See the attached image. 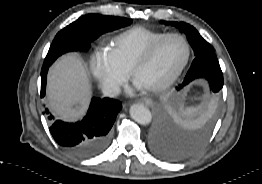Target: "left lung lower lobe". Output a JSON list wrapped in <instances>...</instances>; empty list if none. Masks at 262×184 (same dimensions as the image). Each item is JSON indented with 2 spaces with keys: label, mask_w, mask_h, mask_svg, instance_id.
<instances>
[{
  "label": "left lung lower lobe",
  "mask_w": 262,
  "mask_h": 184,
  "mask_svg": "<svg viewBox=\"0 0 262 184\" xmlns=\"http://www.w3.org/2000/svg\"><path fill=\"white\" fill-rule=\"evenodd\" d=\"M189 71H192V77L196 79L223 78L215 52L196 56ZM208 134V130H203L193 135H179L163 114L158 112L149 133L150 149L159 159L176 162L197 153L206 143Z\"/></svg>",
  "instance_id": "0a47b994"
}]
</instances>
